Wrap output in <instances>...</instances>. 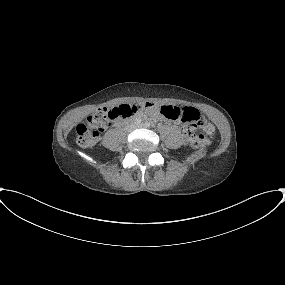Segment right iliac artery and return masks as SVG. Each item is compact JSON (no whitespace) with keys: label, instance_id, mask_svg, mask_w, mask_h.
Segmentation results:
<instances>
[{"label":"right iliac artery","instance_id":"82829eb1","mask_svg":"<svg viewBox=\"0 0 285 285\" xmlns=\"http://www.w3.org/2000/svg\"><path fill=\"white\" fill-rule=\"evenodd\" d=\"M139 123H140V121H137V122H136V124H139Z\"/></svg>","mask_w":285,"mask_h":285}]
</instances>
